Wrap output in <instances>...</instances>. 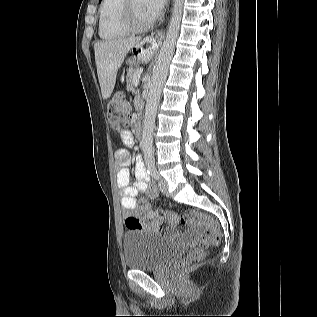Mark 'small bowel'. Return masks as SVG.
I'll list each match as a JSON object with an SVG mask.
<instances>
[{
	"label": "small bowel",
	"instance_id": "c3829d8e",
	"mask_svg": "<svg viewBox=\"0 0 317 317\" xmlns=\"http://www.w3.org/2000/svg\"><path fill=\"white\" fill-rule=\"evenodd\" d=\"M120 136L125 146H132L133 138L128 130H122ZM130 161V155L127 150L119 149L115 152V162L118 167L116 182L121 193L123 214L125 216H142L144 219L152 221V226L155 227L157 225L156 214L147 200L138 199V194L140 192H148L150 198H155L158 195V191L154 186L150 185L145 165L140 158L136 159V181L133 185H130ZM165 231L170 237L178 236L173 224H169ZM196 234L195 230H189L184 235V238L192 240L196 237Z\"/></svg>",
	"mask_w": 317,
	"mask_h": 317
}]
</instances>
